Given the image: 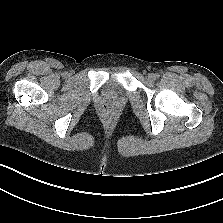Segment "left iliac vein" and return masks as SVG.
Wrapping results in <instances>:
<instances>
[{
	"label": "left iliac vein",
	"mask_w": 223,
	"mask_h": 223,
	"mask_svg": "<svg viewBox=\"0 0 223 223\" xmlns=\"http://www.w3.org/2000/svg\"><path fill=\"white\" fill-rule=\"evenodd\" d=\"M148 79L155 80V74H153V73L148 74Z\"/></svg>",
	"instance_id": "4c4485c4"
}]
</instances>
